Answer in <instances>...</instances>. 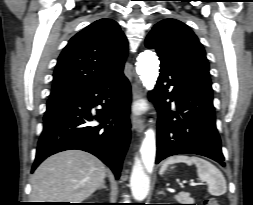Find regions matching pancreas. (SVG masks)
<instances>
[{
	"mask_svg": "<svg viewBox=\"0 0 253 205\" xmlns=\"http://www.w3.org/2000/svg\"><path fill=\"white\" fill-rule=\"evenodd\" d=\"M175 199L182 204H189L191 201H194L193 198L190 197L189 193L187 192H180L175 195Z\"/></svg>",
	"mask_w": 253,
	"mask_h": 205,
	"instance_id": "obj_1",
	"label": "pancreas"
}]
</instances>
